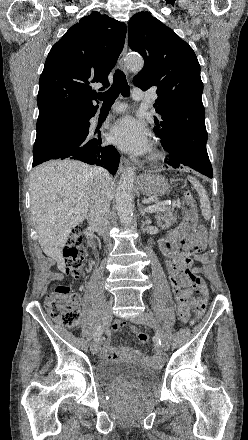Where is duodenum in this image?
<instances>
[{
  "label": "duodenum",
  "instance_id": "duodenum-1",
  "mask_svg": "<svg viewBox=\"0 0 248 440\" xmlns=\"http://www.w3.org/2000/svg\"><path fill=\"white\" fill-rule=\"evenodd\" d=\"M87 238H88L89 245H90L92 248H95V246H94V242H93V238H92V236H91L90 233L87 235Z\"/></svg>",
  "mask_w": 248,
  "mask_h": 440
}]
</instances>
